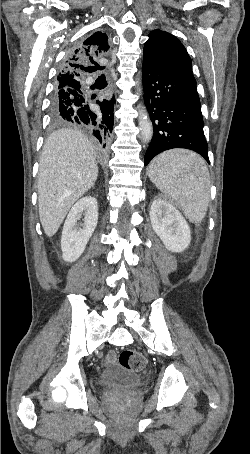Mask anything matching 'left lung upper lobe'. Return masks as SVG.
<instances>
[{"mask_svg": "<svg viewBox=\"0 0 250 454\" xmlns=\"http://www.w3.org/2000/svg\"><path fill=\"white\" fill-rule=\"evenodd\" d=\"M143 60L168 71L192 74V62L185 47L172 34L159 29L149 34Z\"/></svg>", "mask_w": 250, "mask_h": 454, "instance_id": "left-lung-upper-lobe-1", "label": "left lung upper lobe"}]
</instances>
